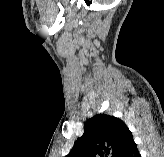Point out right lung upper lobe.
<instances>
[{
    "label": "right lung upper lobe",
    "instance_id": "cb5924a9",
    "mask_svg": "<svg viewBox=\"0 0 164 157\" xmlns=\"http://www.w3.org/2000/svg\"><path fill=\"white\" fill-rule=\"evenodd\" d=\"M132 140L131 131L121 119L95 115L87 120L83 135L65 157H120Z\"/></svg>",
    "mask_w": 164,
    "mask_h": 157
}]
</instances>
